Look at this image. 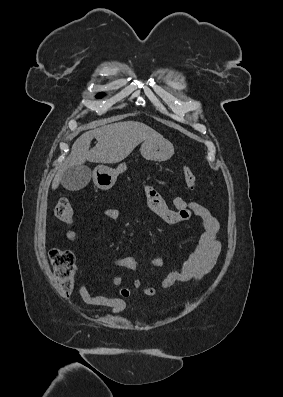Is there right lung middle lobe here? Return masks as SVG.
<instances>
[{"label": "right lung middle lobe", "instance_id": "obj_1", "mask_svg": "<svg viewBox=\"0 0 283 397\" xmlns=\"http://www.w3.org/2000/svg\"><path fill=\"white\" fill-rule=\"evenodd\" d=\"M103 95H104V93H100V94H98V98H101V97H103Z\"/></svg>", "mask_w": 283, "mask_h": 397}]
</instances>
